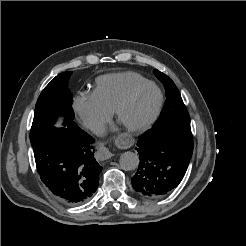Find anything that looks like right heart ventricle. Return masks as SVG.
<instances>
[{
    "mask_svg": "<svg viewBox=\"0 0 246 246\" xmlns=\"http://www.w3.org/2000/svg\"><path fill=\"white\" fill-rule=\"evenodd\" d=\"M146 81L144 76L132 71L109 73L96 79L92 94L105 109L112 112L129 90Z\"/></svg>",
    "mask_w": 246,
    "mask_h": 246,
    "instance_id": "e07e8e85",
    "label": "right heart ventricle"
}]
</instances>
